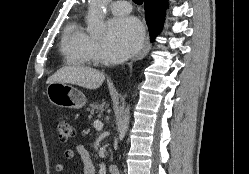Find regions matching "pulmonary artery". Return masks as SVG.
Wrapping results in <instances>:
<instances>
[{
  "label": "pulmonary artery",
  "mask_w": 249,
  "mask_h": 174,
  "mask_svg": "<svg viewBox=\"0 0 249 174\" xmlns=\"http://www.w3.org/2000/svg\"><path fill=\"white\" fill-rule=\"evenodd\" d=\"M109 8L116 15H124L131 12L130 3L122 0L112 2Z\"/></svg>",
  "instance_id": "e3ab8cb5"
}]
</instances>
